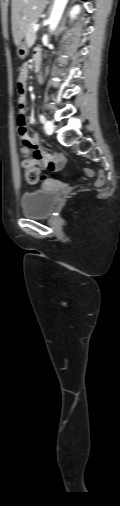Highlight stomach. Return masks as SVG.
Returning a JSON list of instances; mask_svg holds the SVG:
<instances>
[{
    "label": "stomach",
    "instance_id": "stomach-1",
    "mask_svg": "<svg viewBox=\"0 0 120 506\" xmlns=\"http://www.w3.org/2000/svg\"><path fill=\"white\" fill-rule=\"evenodd\" d=\"M17 55L19 58L24 59L28 55L29 46L26 42L21 41L18 45Z\"/></svg>",
    "mask_w": 120,
    "mask_h": 506
}]
</instances>
